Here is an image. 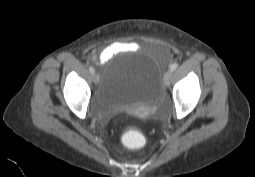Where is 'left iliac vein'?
<instances>
[{
  "label": "left iliac vein",
  "instance_id": "4c4485c4",
  "mask_svg": "<svg viewBox=\"0 0 255 177\" xmlns=\"http://www.w3.org/2000/svg\"><path fill=\"white\" fill-rule=\"evenodd\" d=\"M173 71L168 70L164 75V86L168 87L172 78Z\"/></svg>",
  "mask_w": 255,
  "mask_h": 177
}]
</instances>
